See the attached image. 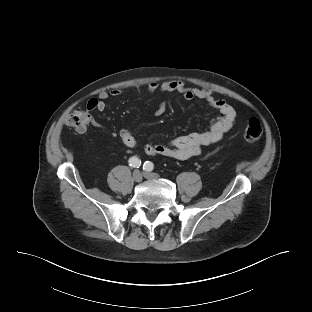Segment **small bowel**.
<instances>
[{
    "label": "small bowel",
    "instance_id": "c3829d8e",
    "mask_svg": "<svg viewBox=\"0 0 312 312\" xmlns=\"http://www.w3.org/2000/svg\"><path fill=\"white\" fill-rule=\"evenodd\" d=\"M147 91L150 94H154L157 91L169 94L178 93L186 100H204L211 108L219 112V116L213 120L208 131L175 137L167 144H145L143 148L147 155H159L177 160L194 157L200 154L203 148L217 143L235 123L236 113L233 107L222 98L217 97L215 92L209 88H192L186 86V84L180 80H167L149 83ZM122 94L123 91L120 89L100 92L97 98H93L87 103V109L89 111H104L109 98L119 97ZM166 107V102L160 103L155 114L157 116L162 115L166 111ZM90 121L93 122V119L89 117V122ZM119 136L121 141L128 147H137L140 145V141L129 129H121L119 131Z\"/></svg>",
    "mask_w": 312,
    "mask_h": 312
}]
</instances>
